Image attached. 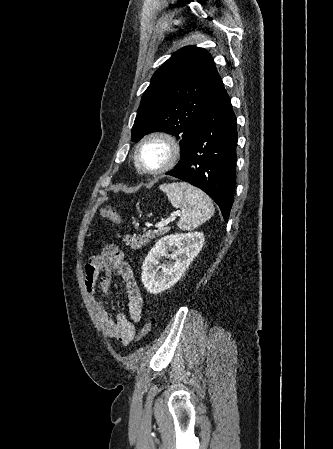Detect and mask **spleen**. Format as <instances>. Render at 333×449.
<instances>
[{"label":"spleen","instance_id":"1","mask_svg":"<svg viewBox=\"0 0 333 449\" xmlns=\"http://www.w3.org/2000/svg\"><path fill=\"white\" fill-rule=\"evenodd\" d=\"M160 189L167 194L174 208L181 209L177 226L181 230H191L210 219L214 206L207 194L188 183L163 184Z\"/></svg>","mask_w":333,"mask_h":449}]
</instances>
